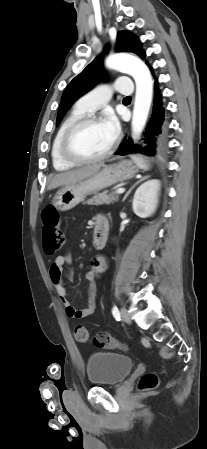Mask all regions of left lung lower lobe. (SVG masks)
Returning a JSON list of instances; mask_svg holds the SVG:
<instances>
[{
    "label": "left lung lower lobe",
    "mask_w": 207,
    "mask_h": 449,
    "mask_svg": "<svg viewBox=\"0 0 207 449\" xmlns=\"http://www.w3.org/2000/svg\"><path fill=\"white\" fill-rule=\"evenodd\" d=\"M155 79L154 82V101L152 115L145 131L143 132L142 143L140 145L133 144L131 139L124 140L116 154L127 155L133 153H141L148 156H154L164 150L167 119L165 109L163 107L162 95L159 89V83L153 73V68L147 64Z\"/></svg>",
    "instance_id": "left-lung-lower-lobe-1"
}]
</instances>
